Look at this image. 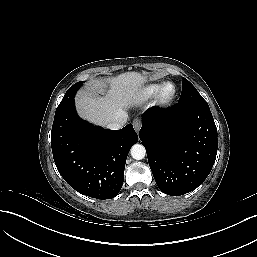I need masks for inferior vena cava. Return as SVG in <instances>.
Returning a JSON list of instances; mask_svg holds the SVG:
<instances>
[{
  "label": "inferior vena cava",
  "mask_w": 257,
  "mask_h": 257,
  "mask_svg": "<svg viewBox=\"0 0 257 257\" xmlns=\"http://www.w3.org/2000/svg\"><path fill=\"white\" fill-rule=\"evenodd\" d=\"M128 120V115L126 112H121L118 114L117 119L113 122H109L107 124V128L110 130H118L121 129Z\"/></svg>",
  "instance_id": "inferior-vena-cava-1"
}]
</instances>
